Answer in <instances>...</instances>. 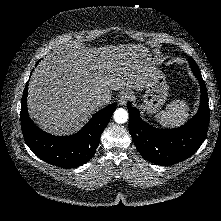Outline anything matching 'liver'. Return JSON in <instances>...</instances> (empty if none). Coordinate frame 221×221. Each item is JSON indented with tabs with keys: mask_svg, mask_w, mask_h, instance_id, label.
I'll return each instance as SVG.
<instances>
[{
	"mask_svg": "<svg viewBox=\"0 0 221 221\" xmlns=\"http://www.w3.org/2000/svg\"><path fill=\"white\" fill-rule=\"evenodd\" d=\"M157 71L143 45L66 47L43 60L28 86V113L43 130L67 135L97 111L100 96L112 90H143Z\"/></svg>",
	"mask_w": 221,
	"mask_h": 221,
	"instance_id": "obj_1",
	"label": "liver"
}]
</instances>
